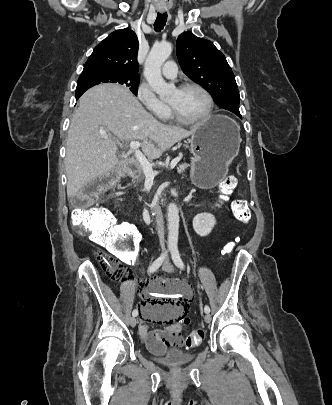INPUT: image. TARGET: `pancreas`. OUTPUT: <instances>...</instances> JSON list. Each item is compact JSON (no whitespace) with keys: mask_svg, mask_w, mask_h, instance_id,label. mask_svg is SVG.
<instances>
[{"mask_svg":"<svg viewBox=\"0 0 332 405\" xmlns=\"http://www.w3.org/2000/svg\"><path fill=\"white\" fill-rule=\"evenodd\" d=\"M188 166H189V165L186 164V163H183V164L179 165V167L177 168L178 173L183 172Z\"/></svg>","mask_w":332,"mask_h":405,"instance_id":"cf45deb5","label":"pancreas"}]
</instances>
